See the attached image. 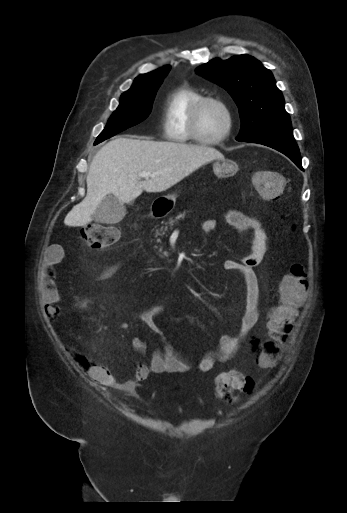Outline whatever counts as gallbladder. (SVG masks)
<instances>
[{
  "instance_id": "1",
  "label": "gallbladder",
  "mask_w": 347,
  "mask_h": 513,
  "mask_svg": "<svg viewBox=\"0 0 347 513\" xmlns=\"http://www.w3.org/2000/svg\"><path fill=\"white\" fill-rule=\"evenodd\" d=\"M126 215L124 204L113 195H107L99 204L92 217L96 222L104 224H116Z\"/></svg>"
}]
</instances>
